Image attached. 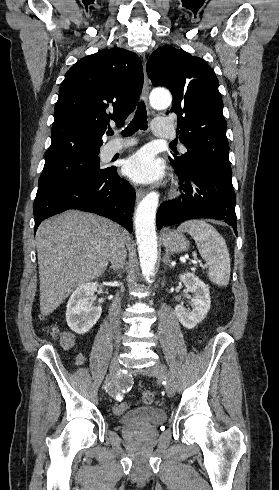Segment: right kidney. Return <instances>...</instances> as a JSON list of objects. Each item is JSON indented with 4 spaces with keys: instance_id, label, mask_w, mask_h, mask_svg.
I'll return each mask as SVG.
<instances>
[{
    "instance_id": "ca27d5eb",
    "label": "right kidney",
    "mask_w": 279,
    "mask_h": 490,
    "mask_svg": "<svg viewBox=\"0 0 279 490\" xmlns=\"http://www.w3.org/2000/svg\"><path fill=\"white\" fill-rule=\"evenodd\" d=\"M97 290H102L98 282H87L76 288L70 296L66 310V322L75 334H86L98 322L102 308L89 304V298Z\"/></svg>"
}]
</instances>
